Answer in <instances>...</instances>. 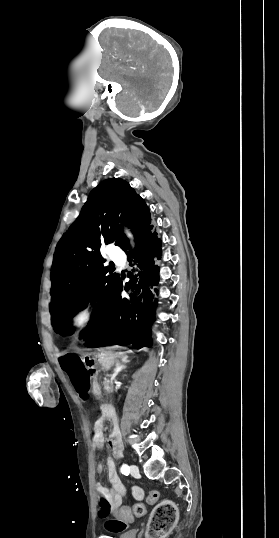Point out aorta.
I'll list each match as a JSON object with an SVG mask.
<instances>
[{
  "label": "aorta",
  "instance_id": "1",
  "mask_svg": "<svg viewBox=\"0 0 279 538\" xmlns=\"http://www.w3.org/2000/svg\"><path fill=\"white\" fill-rule=\"evenodd\" d=\"M128 237L132 238V235L130 233H127Z\"/></svg>",
  "mask_w": 279,
  "mask_h": 538
}]
</instances>
